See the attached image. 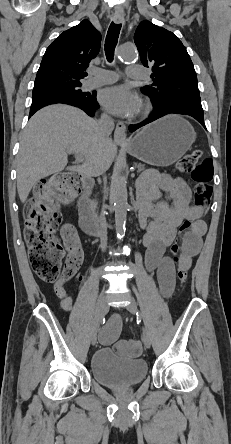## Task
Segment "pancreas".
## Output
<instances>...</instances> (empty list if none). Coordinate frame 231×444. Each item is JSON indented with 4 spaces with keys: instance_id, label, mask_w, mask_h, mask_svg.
Masks as SVG:
<instances>
[{
    "instance_id": "obj_1",
    "label": "pancreas",
    "mask_w": 231,
    "mask_h": 444,
    "mask_svg": "<svg viewBox=\"0 0 231 444\" xmlns=\"http://www.w3.org/2000/svg\"><path fill=\"white\" fill-rule=\"evenodd\" d=\"M135 166L138 168L139 172H142V171L145 170V165L144 164L138 163V164H135Z\"/></svg>"
}]
</instances>
